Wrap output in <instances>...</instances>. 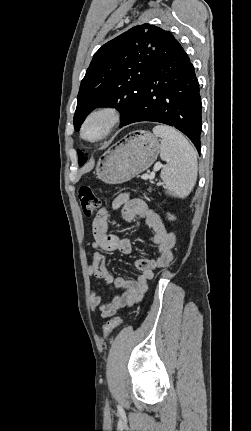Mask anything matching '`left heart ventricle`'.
I'll list each match as a JSON object with an SVG mask.
<instances>
[{"mask_svg":"<svg viewBox=\"0 0 251 431\" xmlns=\"http://www.w3.org/2000/svg\"><path fill=\"white\" fill-rule=\"evenodd\" d=\"M102 125L99 121H94L89 124V126L86 129V135L88 137H95L97 136L101 131Z\"/></svg>","mask_w":251,"mask_h":431,"instance_id":"b2bd125f","label":"left heart ventricle"}]
</instances>
